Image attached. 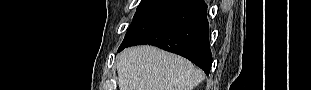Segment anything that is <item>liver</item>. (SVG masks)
Here are the masks:
<instances>
[{"label": "liver", "mask_w": 311, "mask_h": 90, "mask_svg": "<svg viewBox=\"0 0 311 90\" xmlns=\"http://www.w3.org/2000/svg\"><path fill=\"white\" fill-rule=\"evenodd\" d=\"M117 71L119 90H192L202 78L187 59L153 46L121 52Z\"/></svg>", "instance_id": "obj_1"}]
</instances>
